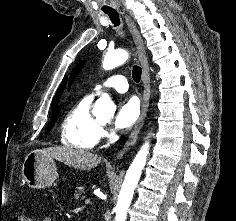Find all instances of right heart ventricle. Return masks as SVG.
Returning <instances> with one entry per match:
<instances>
[{"label": "right heart ventricle", "mask_w": 236, "mask_h": 221, "mask_svg": "<svg viewBox=\"0 0 236 221\" xmlns=\"http://www.w3.org/2000/svg\"><path fill=\"white\" fill-rule=\"evenodd\" d=\"M91 96L73 104L61 123V142L78 150H91L99 141L100 125L91 113Z\"/></svg>", "instance_id": "e07e8e85"}]
</instances>
